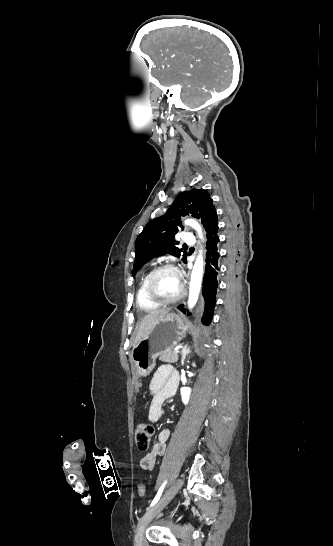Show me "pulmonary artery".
<instances>
[{"label": "pulmonary artery", "mask_w": 333, "mask_h": 546, "mask_svg": "<svg viewBox=\"0 0 333 546\" xmlns=\"http://www.w3.org/2000/svg\"><path fill=\"white\" fill-rule=\"evenodd\" d=\"M182 241L187 244H193L195 242V237L192 233L186 232L182 235Z\"/></svg>", "instance_id": "obj_1"}]
</instances>
